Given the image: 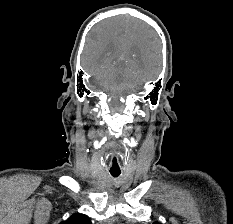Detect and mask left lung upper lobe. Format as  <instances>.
I'll use <instances>...</instances> for the list:
<instances>
[{
    "label": "left lung upper lobe",
    "mask_w": 233,
    "mask_h": 224,
    "mask_svg": "<svg viewBox=\"0 0 233 224\" xmlns=\"http://www.w3.org/2000/svg\"><path fill=\"white\" fill-rule=\"evenodd\" d=\"M153 224H161V223H159V222H155V223H153Z\"/></svg>",
    "instance_id": "1"
}]
</instances>
